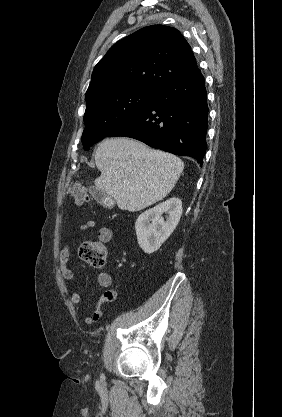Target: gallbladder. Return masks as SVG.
Masks as SVG:
<instances>
[{
  "label": "gallbladder",
  "instance_id": "1",
  "mask_svg": "<svg viewBox=\"0 0 282 417\" xmlns=\"http://www.w3.org/2000/svg\"><path fill=\"white\" fill-rule=\"evenodd\" d=\"M88 190L91 196H93L97 202L103 204V206H106L108 200H110V196H108L104 190H101V188H97V186H89Z\"/></svg>",
  "mask_w": 282,
  "mask_h": 417
}]
</instances>
